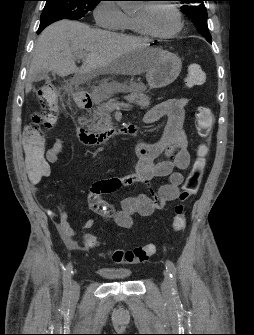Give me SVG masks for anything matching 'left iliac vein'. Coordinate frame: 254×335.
Wrapping results in <instances>:
<instances>
[{
	"mask_svg": "<svg viewBox=\"0 0 254 335\" xmlns=\"http://www.w3.org/2000/svg\"><path fill=\"white\" fill-rule=\"evenodd\" d=\"M162 293L165 295L170 294L171 292V278L167 272L164 273V279L161 284Z\"/></svg>",
	"mask_w": 254,
	"mask_h": 335,
	"instance_id": "obj_1",
	"label": "left iliac vein"
}]
</instances>
